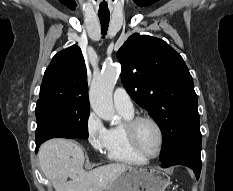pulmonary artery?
I'll return each mask as SVG.
<instances>
[{
  "label": "pulmonary artery",
  "instance_id": "1",
  "mask_svg": "<svg viewBox=\"0 0 233 191\" xmlns=\"http://www.w3.org/2000/svg\"><path fill=\"white\" fill-rule=\"evenodd\" d=\"M114 106L118 111L132 113L134 111L132 100L127 91L119 87L113 95Z\"/></svg>",
  "mask_w": 233,
  "mask_h": 191
}]
</instances>
